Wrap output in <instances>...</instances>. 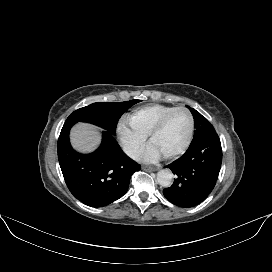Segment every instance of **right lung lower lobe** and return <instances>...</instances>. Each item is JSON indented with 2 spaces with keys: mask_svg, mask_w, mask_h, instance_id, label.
<instances>
[{
  "mask_svg": "<svg viewBox=\"0 0 272 272\" xmlns=\"http://www.w3.org/2000/svg\"><path fill=\"white\" fill-rule=\"evenodd\" d=\"M74 122H65L58 139V159L72 195L87 206L103 207L128 190L129 181L140 165L121 150L109 131L103 132L101 146L91 154H79L69 142Z\"/></svg>",
  "mask_w": 272,
  "mask_h": 272,
  "instance_id": "right-lung-lower-lobe-1",
  "label": "right lung lower lobe"
}]
</instances>
